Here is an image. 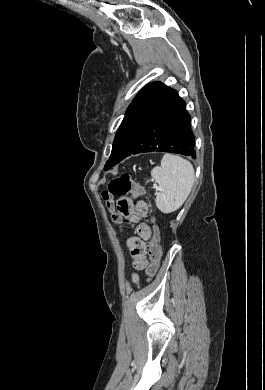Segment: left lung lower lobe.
I'll return each mask as SVG.
<instances>
[{
	"mask_svg": "<svg viewBox=\"0 0 265 390\" xmlns=\"http://www.w3.org/2000/svg\"><path fill=\"white\" fill-rule=\"evenodd\" d=\"M190 115L178 93L162 85L142 109L133 136L117 163L145 152H170L196 158Z\"/></svg>",
	"mask_w": 265,
	"mask_h": 390,
	"instance_id": "0a47b994",
	"label": "left lung lower lobe"
}]
</instances>
